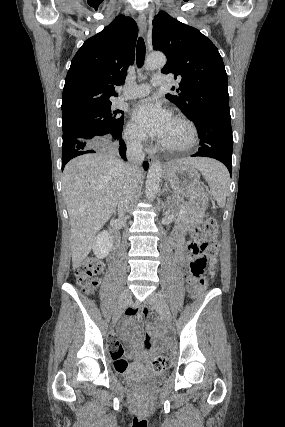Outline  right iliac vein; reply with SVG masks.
<instances>
[{"label": "right iliac vein", "instance_id": "63e3f726", "mask_svg": "<svg viewBox=\"0 0 285 427\" xmlns=\"http://www.w3.org/2000/svg\"><path fill=\"white\" fill-rule=\"evenodd\" d=\"M131 299V292L129 289H125L121 295L119 306L113 316V324H115L122 313L124 312L125 308L128 306Z\"/></svg>", "mask_w": 285, "mask_h": 427}]
</instances>
